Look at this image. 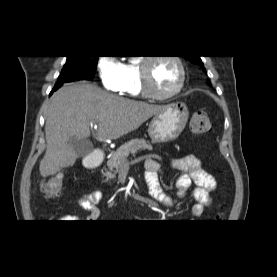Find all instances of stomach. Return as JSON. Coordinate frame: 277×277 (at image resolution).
<instances>
[{
  "label": "stomach",
  "mask_w": 277,
  "mask_h": 277,
  "mask_svg": "<svg viewBox=\"0 0 277 277\" xmlns=\"http://www.w3.org/2000/svg\"><path fill=\"white\" fill-rule=\"evenodd\" d=\"M189 111L184 103L177 102L164 106L155 114L149 124L148 134L153 143L173 141L179 137L188 121Z\"/></svg>",
  "instance_id": "1"
}]
</instances>
